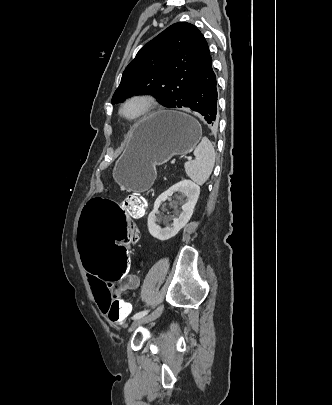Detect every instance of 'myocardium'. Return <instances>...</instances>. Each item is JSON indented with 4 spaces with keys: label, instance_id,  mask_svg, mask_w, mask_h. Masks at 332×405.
I'll list each match as a JSON object with an SVG mask.
<instances>
[{
    "label": "myocardium",
    "instance_id": "myocardium-1",
    "mask_svg": "<svg viewBox=\"0 0 332 405\" xmlns=\"http://www.w3.org/2000/svg\"><path fill=\"white\" fill-rule=\"evenodd\" d=\"M133 102L141 103L142 109L136 115L127 116L125 114V108ZM156 106H157V101L153 95H151L149 93H144V92L135 93V94H132V95L126 97L122 101V103L119 107V115L125 121L135 123V122H139L141 120L148 118L153 113Z\"/></svg>",
    "mask_w": 332,
    "mask_h": 405
}]
</instances>
